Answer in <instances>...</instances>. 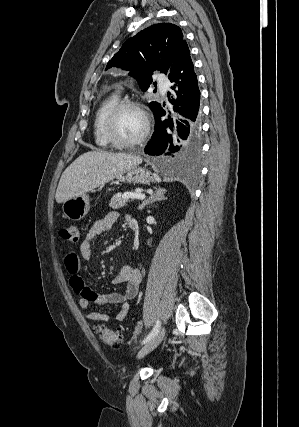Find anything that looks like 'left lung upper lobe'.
<instances>
[{
	"label": "left lung upper lobe",
	"instance_id": "left-lung-upper-lobe-1",
	"mask_svg": "<svg viewBox=\"0 0 299 427\" xmlns=\"http://www.w3.org/2000/svg\"><path fill=\"white\" fill-rule=\"evenodd\" d=\"M182 41L183 34L177 25L154 24L129 38L108 62L106 70L121 67L130 71L145 92L153 83L151 76L155 70L168 74ZM149 105L154 111L159 103Z\"/></svg>",
	"mask_w": 299,
	"mask_h": 427
}]
</instances>
